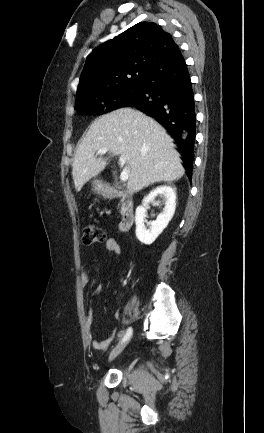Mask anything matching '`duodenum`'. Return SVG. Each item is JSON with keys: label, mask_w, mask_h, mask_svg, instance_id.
Listing matches in <instances>:
<instances>
[{"label": "duodenum", "mask_w": 264, "mask_h": 433, "mask_svg": "<svg viewBox=\"0 0 264 433\" xmlns=\"http://www.w3.org/2000/svg\"><path fill=\"white\" fill-rule=\"evenodd\" d=\"M104 195L108 199H118L121 202L120 231H128L135 220V204L132 195L127 191L117 190L113 187L106 188Z\"/></svg>", "instance_id": "duodenum-1"}]
</instances>
